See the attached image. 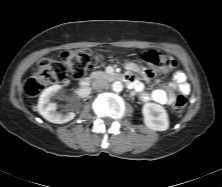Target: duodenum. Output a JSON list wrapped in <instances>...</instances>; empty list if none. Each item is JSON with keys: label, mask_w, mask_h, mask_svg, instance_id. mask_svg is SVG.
Returning a JSON list of instances; mask_svg holds the SVG:
<instances>
[{"label": "duodenum", "mask_w": 222, "mask_h": 187, "mask_svg": "<svg viewBox=\"0 0 222 187\" xmlns=\"http://www.w3.org/2000/svg\"><path fill=\"white\" fill-rule=\"evenodd\" d=\"M119 79H121L124 83H126L129 86L134 85V79L129 75L120 76ZM90 89V82L88 80H82L80 83L79 91L81 94H87Z\"/></svg>", "instance_id": "duodenum-1"}]
</instances>
